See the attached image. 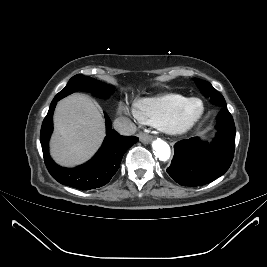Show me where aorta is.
<instances>
[{"instance_id":"1","label":"aorta","mask_w":267,"mask_h":267,"mask_svg":"<svg viewBox=\"0 0 267 267\" xmlns=\"http://www.w3.org/2000/svg\"><path fill=\"white\" fill-rule=\"evenodd\" d=\"M152 148L154 155L160 160V161H167L170 158L171 150L169 145L161 140L156 139L152 142Z\"/></svg>"}]
</instances>
